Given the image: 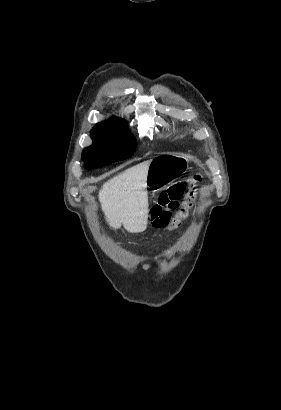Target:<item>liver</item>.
Masks as SVG:
<instances>
[{"label":"liver","mask_w":281,"mask_h":410,"mask_svg":"<svg viewBox=\"0 0 281 410\" xmlns=\"http://www.w3.org/2000/svg\"><path fill=\"white\" fill-rule=\"evenodd\" d=\"M150 161L139 163L103 184L99 201L107 223L121 225L130 233H140L148 224L147 174Z\"/></svg>","instance_id":"6515ba94"}]
</instances>
